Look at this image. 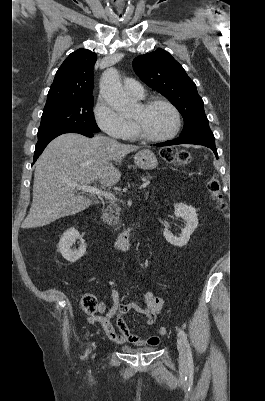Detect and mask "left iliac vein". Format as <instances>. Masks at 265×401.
I'll use <instances>...</instances> for the list:
<instances>
[{
	"instance_id": "obj_1",
	"label": "left iliac vein",
	"mask_w": 265,
	"mask_h": 401,
	"mask_svg": "<svg viewBox=\"0 0 265 401\" xmlns=\"http://www.w3.org/2000/svg\"><path fill=\"white\" fill-rule=\"evenodd\" d=\"M177 348L179 352V362L186 366L187 359H186V350L183 341L180 338H177Z\"/></svg>"
}]
</instances>
